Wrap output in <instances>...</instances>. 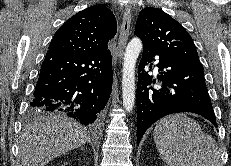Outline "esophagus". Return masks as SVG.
I'll return each mask as SVG.
<instances>
[{
    "label": "esophagus",
    "mask_w": 231,
    "mask_h": 166,
    "mask_svg": "<svg viewBox=\"0 0 231 166\" xmlns=\"http://www.w3.org/2000/svg\"><path fill=\"white\" fill-rule=\"evenodd\" d=\"M130 27H131V6L127 5L124 11L120 35L118 39L117 49H118V54H119L120 59L122 58L124 54V50H125V47L128 41Z\"/></svg>",
    "instance_id": "34e87169"
}]
</instances>
